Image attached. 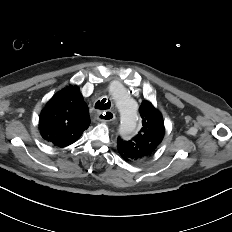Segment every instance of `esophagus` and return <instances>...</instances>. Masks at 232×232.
I'll return each instance as SVG.
<instances>
[{
	"instance_id": "obj_1",
	"label": "esophagus",
	"mask_w": 232,
	"mask_h": 232,
	"mask_svg": "<svg viewBox=\"0 0 232 232\" xmlns=\"http://www.w3.org/2000/svg\"><path fill=\"white\" fill-rule=\"evenodd\" d=\"M97 119L103 122H109L115 119V114L110 110L100 111L97 114Z\"/></svg>"
}]
</instances>
